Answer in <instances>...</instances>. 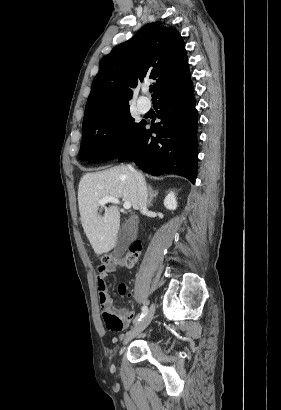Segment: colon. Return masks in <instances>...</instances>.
<instances>
[{"instance_id":"1","label":"colon","mask_w":281,"mask_h":410,"mask_svg":"<svg viewBox=\"0 0 281 410\" xmlns=\"http://www.w3.org/2000/svg\"><path fill=\"white\" fill-rule=\"evenodd\" d=\"M142 252V245L140 242H135L132 244L130 251L123 257L118 258L115 257L113 254L107 253L101 255V259L106 264H113L115 266H126V267H133L137 264L139 256ZM104 321L108 329L112 331L119 330L122 325V319L117 316L116 314L105 311L103 312Z\"/></svg>"}]
</instances>
